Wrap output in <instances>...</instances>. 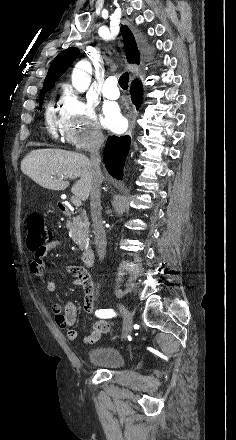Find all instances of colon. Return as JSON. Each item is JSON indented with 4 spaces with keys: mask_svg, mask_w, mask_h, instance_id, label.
I'll return each mask as SVG.
<instances>
[{
    "mask_svg": "<svg viewBox=\"0 0 236 440\" xmlns=\"http://www.w3.org/2000/svg\"><path fill=\"white\" fill-rule=\"evenodd\" d=\"M53 238L51 229L46 225L39 213H31L27 217V245L31 250L45 246Z\"/></svg>",
    "mask_w": 236,
    "mask_h": 440,
    "instance_id": "1",
    "label": "colon"
}]
</instances>
